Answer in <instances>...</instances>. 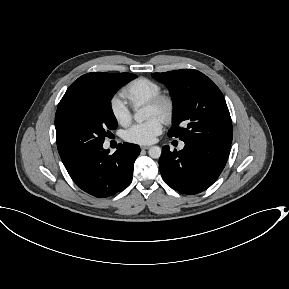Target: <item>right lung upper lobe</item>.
<instances>
[{
	"label": "right lung upper lobe",
	"instance_id": "obj_1",
	"mask_svg": "<svg viewBox=\"0 0 289 289\" xmlns=\"http://www.w3.org/2000/svg\"><path fill=\"white\" fill-rule=\"evenodd\" d=\"M110 75L106 72H92L79 77L67 89L59 105L85 97L92 88L106 81Z\"/></svg>",
	"mask_w": 289,
	"mask_h": 289
}]
</instances>
